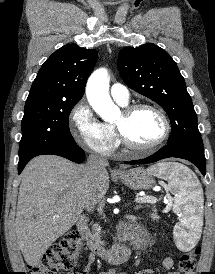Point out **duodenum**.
<instances>
[{
	"label": "duodenum",
	"mask_w": 215,
	"mask_h": 274,
	"mask_svg": "<svg viewBox=\"0 0 215 274\" xmlns=\"http://www.w3.org/2000/svg\"><path fill=\"white\" fill-rule=\"evenodd\" d=\"M77 230L83 237L87 248L95 255L110 264L125 263L131 254L130 247L126 243H117L110 249H105L101 244L94 240L88 230L87 218L82 216L77 221Z\"/></svg>",
	"instance_id": "obj_1"
}]
</instances>
